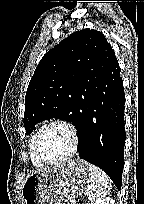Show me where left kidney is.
<instances>
[{
    "label": "left kidney",
    "mask_w": 144,
    "mask_h": 204,
    "mask_svg": "<svg viewBox=\"0 0 144 204\" xmlns=\"http://www.w3.org/2000/svg\"><path fill=\"white\" fill-rule=\"evenodd\" d=\"M91 204H114V200L107 197V198H104L102 200L96 201V202L91 203Z\"/></svg>",
    "instance_id": "left-kidney-1"
}]
</instances>
